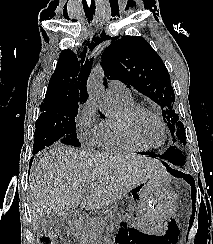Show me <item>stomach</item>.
Here are the masks:
<instances>
[{
  "label": "stomach",
  "mask_w": 213,
  "mask_h": 244,
  "mask_svg": "<svg viewBox=\"0 0 213 244\" xmlns=\"http://www.w3.org/2000/svg\"><path fill=\"white\" fill-rule=\"evenodd\" d=\"M139 200L138 217L142 229L168 219L177 207V196L172 186L161 177H151L133 188Z\"/></svg>",
  "instance_id": "0dacf381"
}]
</instances>
